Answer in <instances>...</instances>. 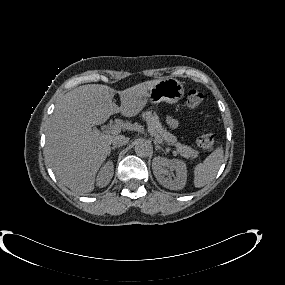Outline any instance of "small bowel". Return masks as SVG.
I'll return each mask as SVG.
<instances>
[{
	"instance_id": "1",
	"label": "small bowel",
	"mask_w": 285,
	"mask_h": 285,
	"mask_svg": "<svg viewBox=\"0 0 285 285\" xmlns=\"http://www.w3.org/2000/svg\"><path fill=\"white\" fill-rule=\"evenodd\" d=\"M176 120L175 119H173V118H169L168 119V124L170 125V126H172V127H174L175 125H176Z\"/></svg>"
}]
</instances>
